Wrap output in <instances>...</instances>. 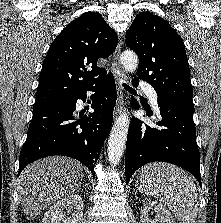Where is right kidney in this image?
I'll list each match as a JSON object with an SVG mask.
<instances>
[{
    "mask_svg": "<svg viewBox=\"0 0 221 223\" xmlns=\"http://www.w3.org/2000/svg\"><path fill=\"white\" fill-rule=\"evenodd\" d=\"M65 208L69 212H72L71 216L65 215ZM83 208V198L81 195L66 196L49 208L44 214L42 223H81Z\"/></svg>",
    "mask_w": 221,
    "mask_h": 223,
    "instance_id": "ca27d5eb",
    "label": "right kidney"
}]
</instances>
